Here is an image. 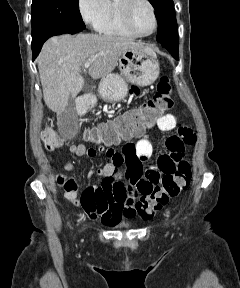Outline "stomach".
I'll list each match as a JSON object with an SVG mask.
<instances>
[{
	"label": "stomach",
	"mask_w": 240,
	"mask_h": 288,
	"mask_svg": "<svg viewBox=\"0 0 240 288\" xmlns=\"http://www.w3.org/2000/svg\"><path fill=\"white\" fill-rule=\"evenodd\" d=\"M121 72L109 74L99 84V95L107 102L124 99L129 91L127 82L139 86L152 84L159 75V63L156 54L147 49H127L118 59Z\"/></svg>",
	"instance_id": "stomach-1"
}]
</instances>
